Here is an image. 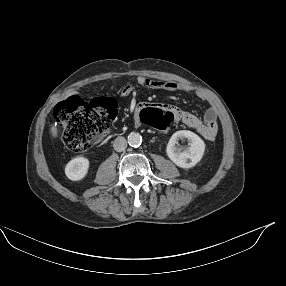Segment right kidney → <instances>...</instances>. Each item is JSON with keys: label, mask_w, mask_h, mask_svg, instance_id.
Returning <instances> with one entry per match:
<instances>
[{"label": "right kidney", "mask_w": 286, "mask_h": 286, "mask_svg": "<svg viewBox=\"0 0 286 286\" xmlns=\"http://www.w3.org/2000/svg\"><path fill=\"white\" fill-rule=\"evenodd\" d=\"M89 169V160L85 157H76L72 159L65 167L66 176L72 181L83 179Z\"/></svg>", "instance_id": "ca27d5eb"}]
</instances>
